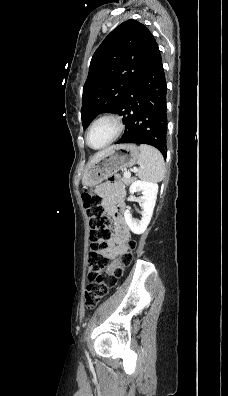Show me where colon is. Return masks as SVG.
<instances>
[{
  "label": "colon",
  "mask_w": 228,
  "mask_h": 396,
  "mask_svg": "<svg viewBox=\"0 0 228 396\" xmlns=\"http://www.w3.org/2000/svg\"><path fill=\"white\" fill-rule=\"evenodd\" d=\"M81 197L91 226V247L88 264L92 280L87 285L84 296L86 309L92 310L116 285L122 274L123 266L131 262V250L135 247V242L128 240L126 243L128 250L120 254V263L112 266L109 271H104L109 266L105 251L108 248L107 242L111 237L110 220L102 205L101 197L95 190L85 189Z\"/></svg>",
  "instance_id": "5ec220e1"
}]
</instances>
